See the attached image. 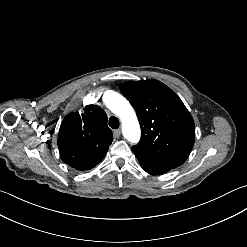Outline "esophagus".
<instances>
[{"label": "esophagus", "mask_w": 247, "mask_h": 247, "mask_svg": "<svg viewBox=\"0 0 247 247\" xmlns=\"http://www.w3.org/2000/svg\"><path fill=\"white\" fill-rule=\"evenodd\" d=\"M113 135L114 138L116 139L119 138V136L121 135V130L120 129L114 130Z\"/></svg>", "instance_id": "1"}]
</instances>
